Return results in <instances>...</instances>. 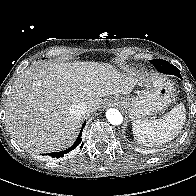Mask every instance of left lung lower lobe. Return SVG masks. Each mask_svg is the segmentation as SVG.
Listing matches in <instances>:
<instances>
[{"instance_id":"1","label":"left lung lower lobe","mask_w":196,"mask_h":196,"mask_svg":"<svg viewBox=\"0 0 196 196\" xmlns=\"http://www.w3.org/2000/svg\"><path fill=\"white\" fill-rule=\"evenodd\" d=\"M175 76H178L179 78H181V75H180V74H177V75H175Z\"/></svg>"}]
</instances>
